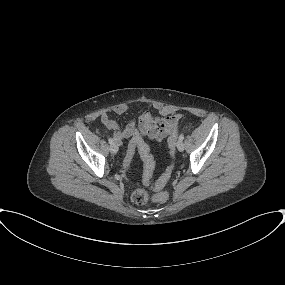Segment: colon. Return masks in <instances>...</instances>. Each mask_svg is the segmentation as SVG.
<instances>
[{"instance_id":"1","label":"colon","mask_w":285,"mask_h":285,"mask_svg":"<svg viewBox=\"0 0 285 285\" xmlns=\"http://www.w3.org/2000/svg\"><path fill=\"white\" fill-rule=\"evenodd\" d=\"M177 140V133H172L168 138V148L170 153L174 152V146ZM136 148L139 149L142 161H143V179L146 183H149L152 179L153 171H154V158L151 154L149 148L142 144L141 142L137 141H131L128 150L127 155L125 159V163L128 164L131 160V157L133 156ZM173 172V167L169 166L166 168L162 176L155 182L154 187L155 189H161L165 186V184L170 179ZM152 200L156 204H165L167 201V195L165 193L159 192L150 197L148 191L143 188L136 189L132 194V200L139 205L146 204L149 200Z\"/></svg>"}]
</instances>
